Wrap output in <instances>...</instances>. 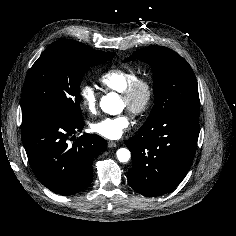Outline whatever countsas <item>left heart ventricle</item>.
Here are the masks:
<instances>
[{
    "mask_svg": "<svg viewBox=\"0 0 236 236\" xmlns=\"http://www.w3.org/2000/svg\"><path fill=\"white\" fill-rule=\"evenodd\" d=\"M121 107L122 108H126L127 107V103L121 98Z\"/></svg>",
    "mask_w": 236,
    "mask_h": 236,
    "instance_id": "b2bd125f",
    "label": "left heart ventricle"
}]
</instances>
